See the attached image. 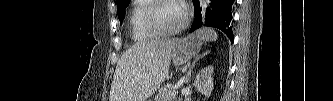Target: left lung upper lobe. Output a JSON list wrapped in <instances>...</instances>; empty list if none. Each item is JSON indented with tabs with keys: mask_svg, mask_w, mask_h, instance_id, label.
Returning a JSON list of instances; mask_svg holds the SVG:
<instances>
[{
	"mask_svg": "<svg viewBox=\"0 0 333 101\" xmlns=\"http://www.w3.org/2000/svg\"><path fill=\"white\" fill-rule=\"evenodd\" d=\"M129 2L130 0H117V14L120 21L124 18V12Z\"/></svg>",
	"mask_w": 333,
	"mask_h": 101,
	"instance_id": "5c2ea615",
	"label": "left lung upper lobe"
}]
</instances>
